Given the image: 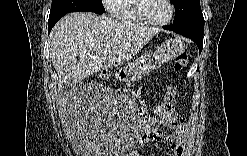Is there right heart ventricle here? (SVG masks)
I'll list each match as a JSON object with an SVG mask.
<instances>
[{
    "instance_id": "1",
    "label": "right heart ventricle",
    "mask_w": 247,
    "mask_h": 156,
    "mask_svg": "<svg viewBox=\"0 0 247 156\" xmlns=\"http://www.w3.org/2000/svg\"><path fill=\"white\" fill-rule=\"evenodd\" d=\"M132 5V0L118 1L114 7V16L122 21L138 22L137 18L133 14Z\"/></svg>"
}]
</instances>
